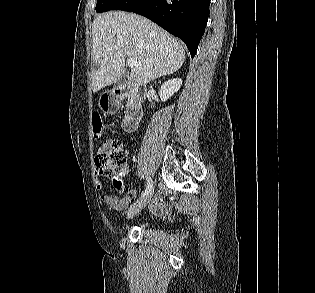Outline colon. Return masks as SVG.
Masks as SVG:
<instances>
[{"instance_id": "obj_1", "label": "colon", "mask_w": 315, "mask_h": 293, "mask_svg": "<svg viewBox=\"0 0 315 293\" xmlns=\"http://www.w3.org/2000/svg\"><path fill=\"white\" fill-rule=\"evenodd\" d=\"M92 133L100 138L104 133V123L99 113L91 117ZM127 154L118 140H113L110 147L95 157V164L101 173L107 176L117 189H121L126 171Z\"/></svg>"}]
</instances>
